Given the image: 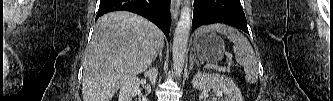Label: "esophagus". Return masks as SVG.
<instances>
[{
	"instance_id": "esophagus-1",
	"label": "esophagus",
	"mask_w": 333,
	"mask_h": 101,
	"mask_svg": "<svg viewBox=\"0 0 333 101\" xmlns=\"http://www.w3.org/2000/svg\"><path fill=\"white\" fill-rule=\"evenodd\" d=\"M180 0H172L171 1V16L173 20H176L178 13H179V7H180Z\"/></svg>"
}]
</instances>
